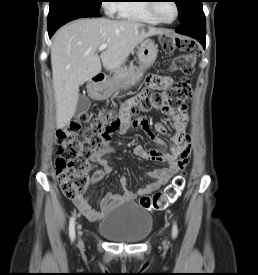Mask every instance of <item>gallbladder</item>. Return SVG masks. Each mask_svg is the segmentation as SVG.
Wrapping results in <instances>:
<instances>
[{"mask_svg": "<svg viewBox=\"0 0 258 275\" xmlns=\"http://www.w3.org/2000/svg\"><path fill=\"white\" fill-rule=\"evenodd\" d=\"M91 105L90 99L85 95H79L76 105V116L86 113Z\"/></svg>", "mask_w": 258, "mask_h": 275, "instance_id": "gallbladder-1", "label": "gallbladder"}]
</instances>
